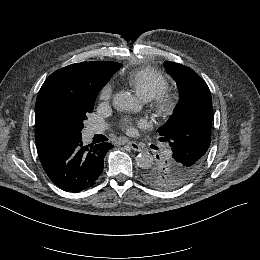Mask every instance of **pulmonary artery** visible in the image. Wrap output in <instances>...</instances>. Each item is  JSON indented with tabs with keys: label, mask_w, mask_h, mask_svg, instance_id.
<instances>
[{
	"label": "pulmonary artery",
	"mask_w": 260,
	"mask_h": 260,
	"mask_svg": "<svg viewBox=\"0 0 260 260\" xmlns=\"http://www.w3.org/2000/svg\"><path fill=\"white\" fill-rule=\"evenodd\" d=\"M105 130V126L98 123H88L86 127L87 138H92L94 135L99 134Z\"/></svg>",
	"instance_id": "obj_1"
}]
</instances>
